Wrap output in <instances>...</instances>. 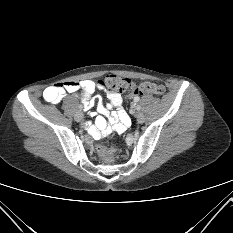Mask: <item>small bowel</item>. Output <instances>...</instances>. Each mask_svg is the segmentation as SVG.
<instances>
[{
  "label": "small bowel",
  "mask_w": 233,
  "mask_h": 233,
  "mask_svg": "<svg viewBox=\"0 0 233 233\" xmlns=\"http://www.w3.org/2000/svg\"><path fill=\"white\" fill-rule=\"evenodd\" d=\"M97 86L109 102L105 104L100 99L98 100L97 111L100 115L96 117L95 124L89 128L90 135L99 139L110 135L112 132H123L130 125V117L122 106L123 98L119 93L110 92L102 79L57 83L44 90L43 98L48 103L58 104L66 93L81 90L83 108L89 110L94 105L93 95Z\"/></svg>",
  "instance_id": "1"
}]
</instances>
